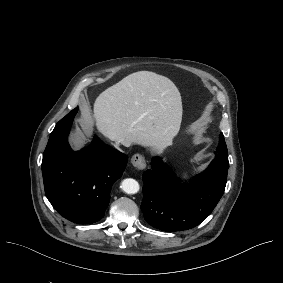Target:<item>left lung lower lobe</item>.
Masks as SVG:
<instances>
[{
    "label": "left lung lower lobe",
    "instance_id": "0a47b994",
    "mask_svg": "<svg viewBox=\"0 0 283 283\" xmlns=\"http://www.w3.org/2000/svg\"><path fill=\"white\" fill-rule=\"evenodd\" d=\"M215 159L190 183L176 178L159 157L143 174L141 210L153 227L174 232L199 225L213 211L222 197L229 167L224 136L219 135Z\"/></svg>",
    "mask_w": 283,
    "mask_h": 283
}]
</instances>
